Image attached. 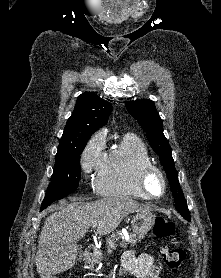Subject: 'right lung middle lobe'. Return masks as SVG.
<instances>
[{
    "label": "right lung middle lobe",
    "instance_id": "right-lung-middle-lobe-1",
    "mask_svg": "<svg viewBox=\"0 0 221 278\" xmlns=\"http://www.w3.org/2000/svg\"><path fill=\"white\" fill-rule=\"evenodd\" d=\"M86 143L65 150H58L54 172L42 202L41 210L52 202L62 199L75 191L81 177L80 154Z\"/></svg>",
    "mask_w": 221,
    "mask_h": 278
}]
</instances>
